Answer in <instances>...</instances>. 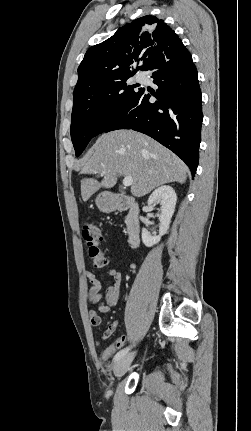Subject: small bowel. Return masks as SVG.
<instances>
[{"label":"small bowel","mask_w":251,"mask_h":431,"mask_svg":"<svg viewBox=\"0 0 251 431\" xmlns=\"http://www.w3.org/2000/svg\"><path fill=\"white\" fill-rule=\"evenodd\" d=\"M107 275L112 278V282L108 286L106 293L103 295L101 293L102 284L96 274L89 270L85 272L86 278L91 283V288L88 293V301L91 304H96L98 306L97 309H92L88 312L90 324L93 327H98L103 323V321H105L107 315L111 311V307L116 305L119 299L122 273L115 268H109L107 270ZM118 323V320H113L104 330L100 340L105 341L111 337L117 329ZM105 351H107V348L102 352H98V357H101L103 361V352Z\"/></svg>","instance_id":"obj_1"}]
</instances>
